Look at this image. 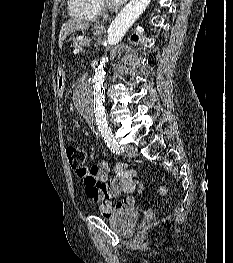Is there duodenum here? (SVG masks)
<instances>
[{
    "label": "duodenum",
    "mask_w": 233,
    "mask_h": 263,
    "mask_svg": "<svg viewBox=\"0 0 233 263\" xmlns=\"http://www.w3.org/2000/svg\"><path fill=\"white\" fill-rule=\"evenodd\" d=\"M87 78H88L87 73H83V74L81 75V80H82L83 82L86 81Z\"/></svg>",
    "instance_id": "410a0bca"
}]
</instances>
